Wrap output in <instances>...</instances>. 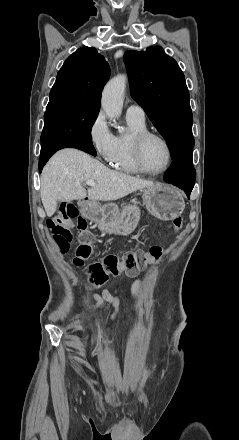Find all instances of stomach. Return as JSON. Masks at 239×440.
<instances>
[{
	"label": "stomach",
	"mask_w": 239,
	"mask_h": 440,
	"mask_svg": "<svg viewBox=\"0 0 239 440\" xmlns=\"http://www.w3.org/2000/svg\"><path fill=\"white\" fill-rule=\"evenodd\" d=\"M143 206L148 210L151 216L158 220H174L181 216L185 202L176 188H147L144 190ZM78 206L84 218L96 222L101 232L106 234H117V236H129L134 232L139 220L140 210L138 206H124L121 212L117 204L108 202V204H99L96 200H79Z\"/></svg>",
	"instance_id": "obj_1"
}]
</instances>
